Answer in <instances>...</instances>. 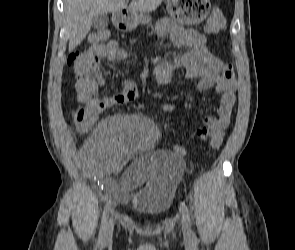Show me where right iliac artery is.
I'll list each match as a JSON object with an SVG mask.
<instances>
[{"mask_svg": "<svg viewBox=\"0 0 295 250\" xmlns=\"http://www.w3.org/2000/svg\"><path fill=\"white\" fill-rule=\"evenodd\" d=\"M103 188V187H102ZM110 208H111V200H109L104 208L103 215H102V221H101V229L99 233V239L101 240L104 236L105 229L108 223V218L110 214Z\"/></svg>", "mask_w": 295, "mask_h": 250, "instance_id": "obj_1", "label": "right iliac artery"}]
</instances>
